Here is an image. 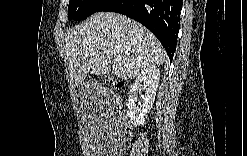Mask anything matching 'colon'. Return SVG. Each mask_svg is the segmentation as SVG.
Returning a JSON list of instances; mask_svg holds the SVG:
<instances>
[{"label":"colon","mask_w":247,"mask_h":156,"mask_svg":"<svg viewBox=\"0 0 247 156\" xmlns=\"http://www.w3.org/2000/svg\"><path fill=\"white\" fill-rule=\"evenodd\" d=\"M108 83L115 90H120L123 87V83L114 78L109 79Z\"/></svg>","instance_id":"5ec220e1"}]
</instances>
